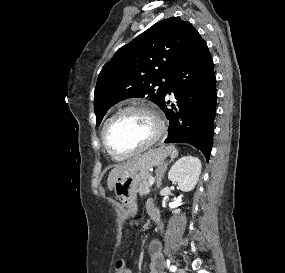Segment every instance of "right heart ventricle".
<instances>
[{"instance_id":"e07e8e85","label":"right heart ventricle","mask_w":285,"mask_h":273,"mask_svg":"<svg viewBox=\"0 0 285 273\" xmlns=\"http://www.w3.org/2000/svg\"><path fill=\"white\" fill-rule=\"evenodd\" d=\"M110 155H111L113 158H116V159H121V158H123V157L115 156V155H113V154H111V153H110Z\"/></svg>"}]
</instances>
